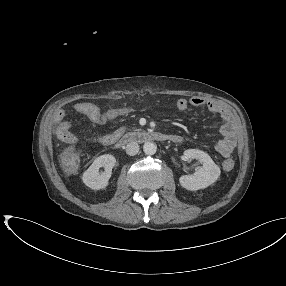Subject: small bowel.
I'll return each mask as SVG.
<instances>
[{
    "instance_id": "small-bowel-1",
    "label": "small bowel",
    "mask_w": 286,
    "mask_h": 286,
    "mask_svg": "<svg viewBox=\"0 0 286 286\" xmlns=\"http://www.w3.org/2000/svg\"><path fill=\"white\" fill-rule=\"evenodd\" d=\"M176 107L180 111H184L189 107H205L210 112L218 114L224 122L221 128L223 138L216 143L215 149L225 158L231 155L237 145L238 136L231 112L225 105L199 96H194L189 99H178ZM73 109L75 112L84 115L97 125L113 122L128 112V110L124 108H112L103 111L91 102H77L73 105ZM67 115L68 113L66 110L59 109L54 113L53 119L58 124L56 128L58 137L61 140H64L65 138L69 139L72 144L110 146L114 144L125 131V127L121 126L107 134L81 138L72 133V125L65 121Z\"/></svg>"
}]
</instances>
